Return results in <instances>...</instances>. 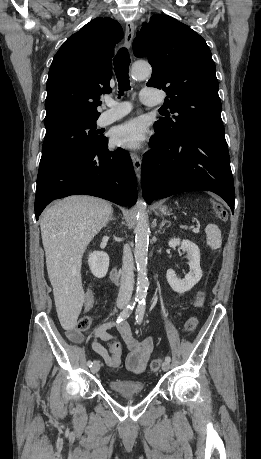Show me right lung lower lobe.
<instances>
[{
  "mask_svg": "<svg viewBox=\"0 0 261 459\" xmlns=\"http://www.w3.org/2000/svg\"><path fill=\"white\" fill-rule=\"evenodd\" d=\"M137 181L129 154L118 148L108 150V139L94 149L76 152L39 169L35 216L54 199L85 194L122 206L137 198Z\"/></svg>",
  "mask_w": 261,
  "mask_h": 459,
  "instance_id": "98d812e1",
  "label": "right lung lower lobe"
}]
</instances>
